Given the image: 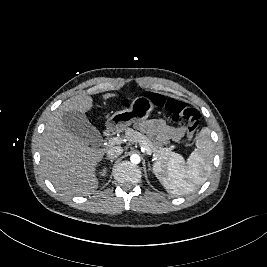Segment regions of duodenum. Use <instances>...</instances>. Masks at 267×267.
Segmentation results:
<instances>
[{"mask_svg": "<svg viewBox=\"0 0 267 267\" xmlns=\"http://www.w3.org/2000/svg\"><path fill=\"white\" fill-rule=\"evenodd\" d=\"M113 131H114L113 127L109 126V127L105 130L104 134H105L106 137H109V136H111V135L113 134Z\"/></svg>", "mask_w": 267, "mask_h": 267, "instance_id": "duodenum-1", "label": "duodenum"}]
</instances>
